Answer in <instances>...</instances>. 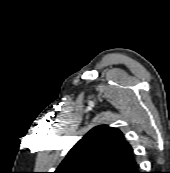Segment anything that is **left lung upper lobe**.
I'll return each mask as SVG.
<instances>
[{
	"instance_id": "left-lung-upper-lobe-1",
	"label": "left lung upper lobe",
	"mask_w": 170,
	"mask_h": 173,
	"mask_svg": "<svg viewBox=\"0 0 170 173\" xmlns=\"http://www.w3.org/2000/svg\"><path fill=\"white\" fill-rule=\"evenodd\" d=\"M134 161L122 132L100 125L74 145L54 173H119Z\"/></svg>"
}]
</instances>
